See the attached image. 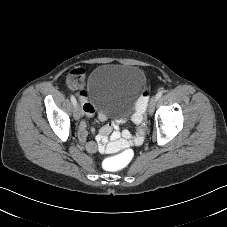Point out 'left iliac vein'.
Wrapping results in <instances>:
<instances>
[{
	"label": "left iliac vein",
	"mask_w": 227,
	"mask_h": 227,
	"mask_svg": "<svg viewBox=\"0 0 227 227\" xmlns=\"http://www.w3.org/2000/svg\"><path fill=\"white\" fill-rule=\"evenodd\" d=\"M156 103H157V98H156V96H154L151 98L150 103H149V107H148L149 114H152L154 112Z\"/></svg>",
	"instance_id": "obj_1"
}]
</instances>
